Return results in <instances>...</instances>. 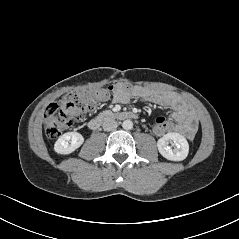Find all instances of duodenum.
Returning a JSON list of instances; mask_svg holds the SVG:
<instances>
[{
  "label": "duodenum",
  "instance_id": "1",
  "mask_svg": "<svg viewBox=\"0 0 239 239\" xmlns=\"http://www.w3.org/2000/svg\"><path fill=\"white\" fill-rule=\"evenodd\" d=\"M135 118L136 115L128 111L106 112L92 118L88 123V127L92 130H96L108 119L128 120Z\"/></svg>",
  "mask_w": 239,
  "mask_h": 239
}]
</instances>
